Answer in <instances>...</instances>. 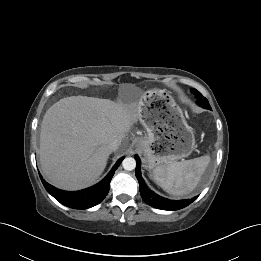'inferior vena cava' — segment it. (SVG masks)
Instances as JSON below:
<instances>
[{"label":"inferior vena cava","instance_id":"602c4592","mask_svg":"<svg viewBox=\"0 0 261 261\" xmlns=\"http://www.w3.org/2000/svg\"><path fill=\"white\" fill-rule=\"evenodd\" d=\"M119 145H120V140L114 139V140H112V141L109 143V148H110L112 151H115V150H117V148H118Z\"/></svg>","mask_w":261,"mask_h":261}]
</instances>
